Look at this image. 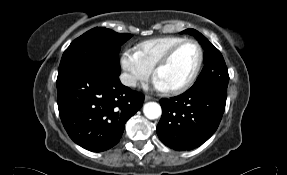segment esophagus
Wrapping results in <instances>:
<instances>
[{"instance_id":"1","label":"esophagus","mask_w":287,"mask_h":175,"mask_svg":"<svg viewBox=\"0 0 287 175\" xmlns=\"http://www.w3.org/2000/svg\"><path fill=\"white\" fill-rule=\"evenodd\" d=\"M153 98L151 97V96H149V95H146L145 96V101H149V100H152Z\"/></svg>"}]
</instances>
